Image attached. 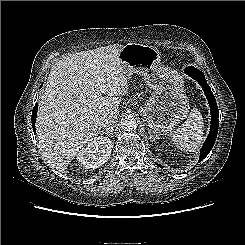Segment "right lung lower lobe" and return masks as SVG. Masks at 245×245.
Listing matches in <instances>:
<instances>
[{
    "instance_id": "right-lung-lower-lobe-1",
    "label": "right lung lower lobe",
    "mask_w": 245,
    "mask_h": 245,
    "mask_svg": "<svg viewBox=\"0 0 245 245\" xmlns=\"http://www.w3.org/2000/svg\"><path fill=\"white\" fill-rule=\"evenodd\" d=\"M37 108H38V105L36 104L35 107L33 108V111H32V126H33L34 132H35V122H36Z\"/></svg>"
}]
</instances>
